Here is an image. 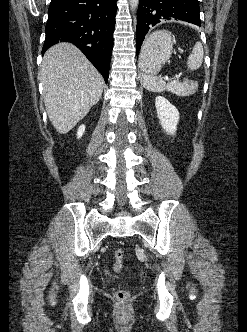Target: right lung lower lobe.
<instances>
[{"label":"right lung lower lobe","instance_id":"98d812e1","mask_svg":"<svg viewBox=\"0 0 247 332\" xmlns=\"http://www.w3.org/2000/svg\"><path fill=\"white\" fill-rule=\"evenodd\" d=\"M117 0H51L42 54L59 41L77 46L108 82Z\"/></svg>","mask_w":247,"mask_h":332}]
</instances>
